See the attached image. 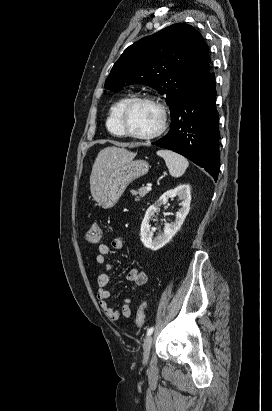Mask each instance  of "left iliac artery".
Segmentation results:
<instances>
[{"instance_id":"44dca946","label":"left iliac artery","mask_w":272,"mask_h":411,"mask_svg":"<svg viewBox=\"0 0 272 411\" xmlns=\"http://www.w3.org/2000/svg\"><path fill=\"white\" fill-rule=\"evenodd\" d=\"M153 330H154V327L148 328L146 335H147V336H150V335L153 333Z\"/></svg>"}]
</instances>
